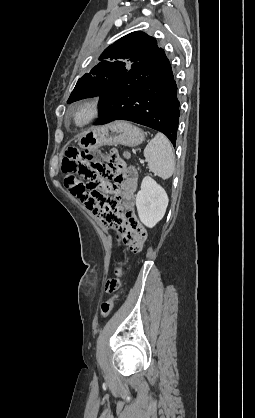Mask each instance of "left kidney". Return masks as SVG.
<instances>
[{"mask_svg":"<svg viewBox=\"0 0 255 418\" xmlns=\"http://www.w3.org/2000/svg\"><path fill=\"white\" fill-rule=\"evenodd\" d=\"M168 201L164 188L150 176L144 177L141 189L136 195V206L141 222L153 228L164 217Z\"/></svg>","mask_w":255,"mask_h":418,"instance_id":"obj_1","label":"left kidney"}]
</instances>
